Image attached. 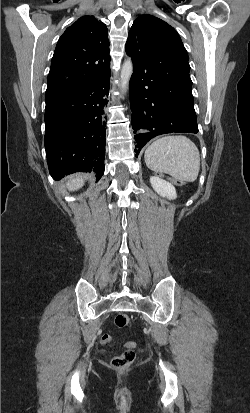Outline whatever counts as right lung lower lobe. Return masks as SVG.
<instances>
[{"instance_id": "98d812e1", "label": "right lung lower lobe", "mask_w": 250, "mask_h": 413, "mask_svg": "<svg viewBox=\"0 0 250 413\" xmlns=\"http://www.w3.org/2000/svg\"><path fill=\"white\" fill-rule=\"evenodd\" d=\"M110 70L96 80L46 93L45 150L53 179L78 171L104 173Z\"/></svg>"}]
</instances>
